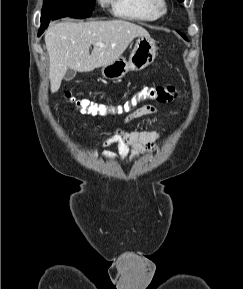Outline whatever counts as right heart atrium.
<instances>
[{"label":"right heart atrium","instance_id":"1","mask_svg":"<svg viewBox=\"0 0 243 289\" xmlns=\"http://www.w3.org/2000/svg\"><path fill=\"white\" fill-rule=\"evenodd\" d=\"M101 4H106L109 0H98Z\"/></svg>","mask_w":243,"mask_h":289}]
</instances>
